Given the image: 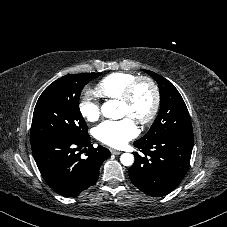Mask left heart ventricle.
<instances>
[{
	"label": "left heart ventricle",
	"mask_w": 227,
	"mask_h": 227,
	"mask_svg": "<svg viewBox=\"0 0 227 227\" xmlns=\"http://www.w3.org/2000/svg\"><path fill=\"white\" fill-rule=\"evenodd\" d=\"M152 104V90L149 85L143 83L138 87L135 98L131 104H119L120 116L129 117L133 121L138 122L149 113Z\"/></svg>",
	"instance_id": "obj_1"
}]
</instances>
